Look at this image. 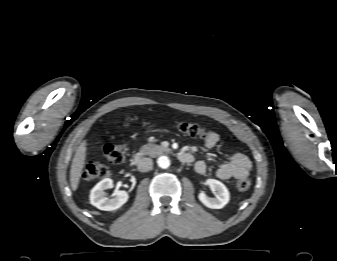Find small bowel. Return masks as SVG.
<instances>
[{
    "label": "small bowel",
    "instance_id": "1",
    "mask_svg": "<svg viewBox=\"0 0 337 261\" xmlns=\"http://www.w3.org/2000/svg\"><path fill=\"white\" fill-rule=\"evenodd\" d=\"M219 141V135L215 131L209 130L204 139L205 146L208 149L213 148ZM252 168L250 159L243 153H235L230 158L229 162L221 164L216 170V176L221 180L230 178L241 179L249 175ZM195 171L198 174H205L207 165L200 160L195 163Z\"/></svg>",
    "mask_w": 337,
    "mask_h": 261
}]
</instances>
